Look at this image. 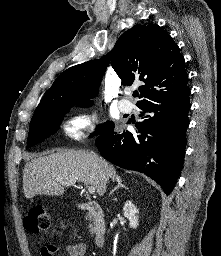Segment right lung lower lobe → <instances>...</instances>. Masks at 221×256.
Instances as JSON below:
<instances>
[{"label": "right lung lower lobe", "mask_w": 221, "mask_h": 256, "mask_svg": "<svg viewBox=\"0 0 221 256\" xmlns=\"http://www.w3.org/2000/svg\"><path fill=\"white\" fill-rule=\"evenodd\" d=\"M189 95L187 91L142 103L138 107L144 120L137 124V134H116L113 125L96 139L100 154L119 167L149 176L170 194L184 162Z\"/></svg>", "instance_id": "1"}]
</instances>
